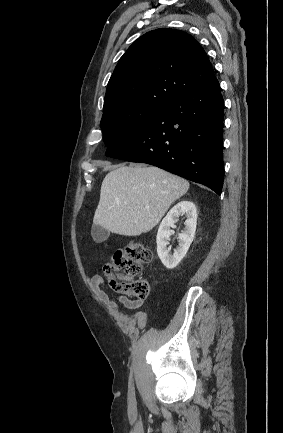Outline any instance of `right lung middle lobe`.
Masks as SVG:
<instances>
[{
    "label": "right lung middle lobe",
    "mask_w": 283,
    "mask_h": 433,
    "mask_svg": "<svg viewBox=\"0 0 283 433\" xmlns=\"http://www.w3.org/2000/svg\"><path fill=\"white\" fill-rule=\"evenodd\" d=\"M164 107L151 104H126L104 111L100 123L106 156L124 150L142 128Z\"/></svg>",
    "instance_id": "1"
}]
</instances>
